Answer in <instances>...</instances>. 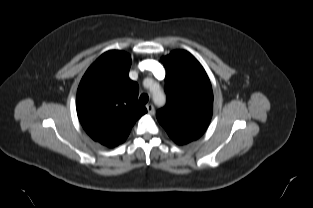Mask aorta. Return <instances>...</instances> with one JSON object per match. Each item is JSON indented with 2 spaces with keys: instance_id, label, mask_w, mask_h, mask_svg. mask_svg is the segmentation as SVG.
Returning <instances> with one entry per match:
<instances>
[{
  "instance_id": "1",
  "label": "aorta",
  "mask_w": 313,
  "mask_h": 208,
  "mask_svg": "<svg viewBox=\"0 0 313 208\" xmlns=\"http://www.w3.org/2000/svg\"><path fill=\"white\" fill-rule=\"evenodd\" d=\"M155 97H162V98H164V95H163L162 93H157V94L155 95Z\"/></svg>"
}]
</instances>
